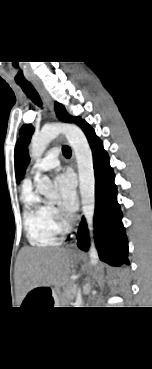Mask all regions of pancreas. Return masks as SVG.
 <instances>
[{
    "label": "pancreas",
    "mask_w": 152,
    "mask_h": 369,
    "mask_svg": "<svg viewBox=\"0 0 152 369\" xmlns=\"http://www.w3.org/2000/svg\"><path fill=\"white\" fill-rule=\"evenodd\" d=\"M75 285H73V287L71 286L70 288H69V292L66 294V297H67V299H72L73 297H74V292H75Z\"/></svg>",
    "instance_id": "cf45deb5"
}]
</instances>
